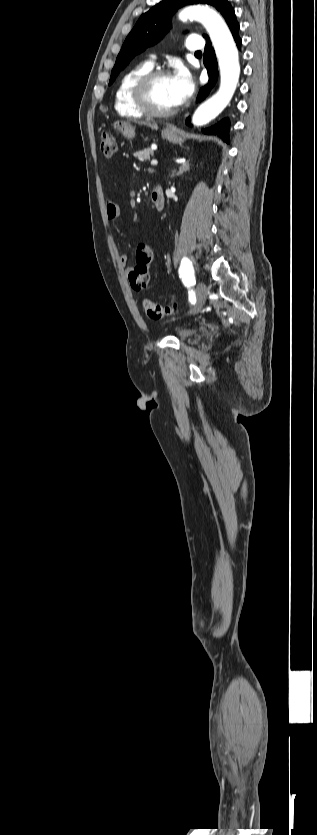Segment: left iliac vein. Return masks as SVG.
Here are the masks:
<instances>
[{
	"mask_svg": "<svg viewBox=\"0 0 317 835\" xmlns=\"http://www.w3.org/2000/svg\"><path fill=\"white\" fill-rule=\"evenodd\" d=\"M207 294H208L207 286L204 283L200 282L198 284L197 290H196V304H195L194 308L191 310V313H196L202 308L203 303L206 300Z\"/></svg>",
	"mask_w": 317,
	"mask_h": 835,
	"instance_id": "obj_1",
	"label": "left iliac vein"
}]
</instances>
